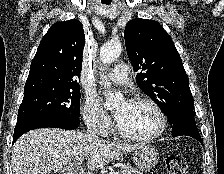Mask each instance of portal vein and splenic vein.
Instances as JSON below:
<instances>
[{"label": "portal vein and splenic vein", "instance_id": "1", "mask_svg": "<svg viewBox=\"0 0 224 174\" xmlns=\"http://www.w3.org/2000/svg\"><path fill=\"white\" fill-rule=\"evenodd\" d=\"M75 161L80 164L84 161V158L83 157H78V158H75ZM116 174H119V173H116Z\"/></svg>", "mask_w": 224, "mask_h": 174}]
</instances>
